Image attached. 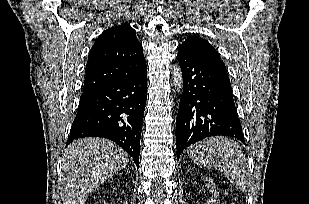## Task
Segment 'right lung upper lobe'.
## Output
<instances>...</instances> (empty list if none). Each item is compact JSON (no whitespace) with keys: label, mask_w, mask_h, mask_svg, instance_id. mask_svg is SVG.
<instances>
[{"label":"right lung upper lobe","mask_w":309,"mask_h":204,"mask_svg":"<svg viewBox=\"0 0 309 204\" xmlns=\"http://www.w3.org/2000/svg\"><path fill=\"white\" fill-rule=\"evenodd\" d=\"M146 67L142 44L128 24L105 30L96 40L86 65L84 92L135 74Z\"/></svg>","instance_id":"obj_1"}]
</instances>
